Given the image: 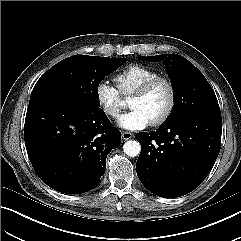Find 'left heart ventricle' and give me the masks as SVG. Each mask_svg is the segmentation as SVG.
Returning <instances> with one entry per match:
<instances>
[{
    "label": "left heart ventricle",
    "mask_w": 241,
    "mask_h": 241,
    "mask_svg": "<svg viewBox=\"0 0 241 241\" xmlns=\"http://www.w3.org/2000/svg\"><path fill=\"white\" fill-rule=\"evenodd\" d=\"M168 102V88L164 84H159L143 97L132 96L129 108L140 110L149 121H152L163 113Z\"/></svg>",
    "instance_id": "1"
}]
</instances>
